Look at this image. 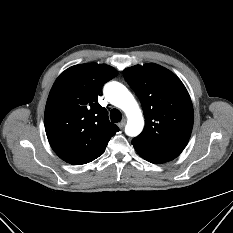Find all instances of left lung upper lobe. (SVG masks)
<instances>
[{
	"label": "left lung upper lobe",
	"instance_id": "5c2ea615",
	"mask_svg": "<svg viewBox=\"0 0 233 233\" xmlns=\"http://www.w3.org/2000/svg\"><path fill=\"white\" fill-rule=\"evenodd\" d=\"M142 104L145 127L133 140L159 147L184 149L193 127V107L181 80L157 64L123 70Z\"/></svg>",
	"mask_w": 233,
	"mask_h": 233
}]
</instances>
